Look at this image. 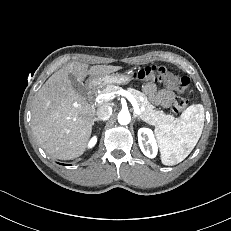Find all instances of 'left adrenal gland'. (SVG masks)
<instances>
[{
  "mask_svg": "<svg viewBox=\"0 0 231 231\" xmlns=\"http://www.w3.org/2000/svg\"><path fill=\"white\" fill-rule=\"evenodd\" d=\"M134 118L140 120V118L134 113Z\"/></svg>",
  "mask_w": 231,
  "mask_h": 231,
  "instance_id": "obj_1",
  "label": "left adrenal gland"
}]
</instances>
